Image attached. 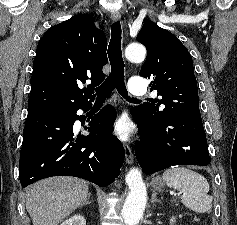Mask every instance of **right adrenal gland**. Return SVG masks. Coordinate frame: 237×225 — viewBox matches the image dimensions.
Returning <instances> with one entry per match:
<instances>
[{"label": "right adrenal gland", "mask_w": 237, "mask_h": 225, "mask_svg": "<svg viewBox=\"0 0 237 225\" xmlns=\"http://www.w3.org/2000/svg\"><path fill=\"white\" fill-rule=\"evenodd\" d=\"M90 193L88 194V198L84 201V203L81 205V207H83L84 205H87V204H90L91 203V201H89V199H90Z\"/></svg>", "instance_id": "obj_1"}]
</instances>
